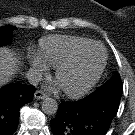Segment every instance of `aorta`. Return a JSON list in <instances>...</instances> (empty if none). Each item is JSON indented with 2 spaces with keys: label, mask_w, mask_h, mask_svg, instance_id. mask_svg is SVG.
Segmentation results:
<instances>
[{
  "label": "aorta",
  "mask_w": 135,
  "mask_h": 135,
  "mask_svg": "<svg viewBox=\"0 0 135 135\" xmlns=\"http://www.w3.org/2000/svg\"><path fill=\"white\" fill-rule=\"evenodd\" d=\"M58 103L53 98H45L42 102V111L47 115H54L57 113Z\"/></svg>",
  "instance_id": "1"
}]
</instances>
